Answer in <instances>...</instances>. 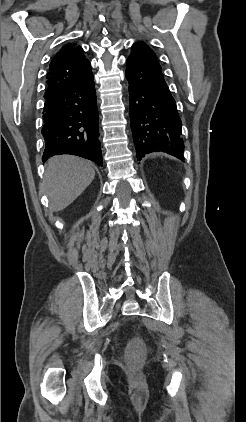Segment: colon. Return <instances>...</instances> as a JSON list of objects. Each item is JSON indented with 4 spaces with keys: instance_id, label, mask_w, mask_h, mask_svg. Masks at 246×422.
I'll return each instance as SVG.
<instances>
[{
    "instance_id": "1",
    "label": "colon",
    "mask_w": 246,
    "mask_h": 422,
    "mask_svg": "<svg viewBox=\"0 0 246 422\" xmlns=\"http://www.w3.org/2000/svg\"><path fill=\"white\" fill-rule=\"evenodd\" d=\"M145 355V347L140 339H133L127 346L126 357L127 360L133 364H139Z\"/></svg>"
}]
</instances>
